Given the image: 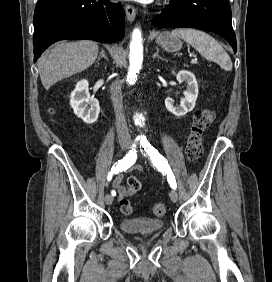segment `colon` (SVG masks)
Returning <instances> with one entry per match:
<instances>
[{
    "label": "colon",
    "mask_w": 272,
    "mask_h": 282,
    "mask_svg": "<svg viewBox=\"0 0 272 282\" xmlns=\"http://www.w3.org/2000/svg\"><path fill=\"white\" fill-rule=\"evenodd\" d=\"M213 120L214 113L211 110H200L194 115L186 144V157L191 163L196 162L202 156V134ZM136 181V178L131 177L128 179V184H134ZM120 210L123 214L130 215L133 213V206L128 199L123 198L120 200ZM166 211L167 204L165 202H157L152 207V213L155 217H163Z\"/></svg>",
    "instance_id": "5ec220e1"
}]
</instances>
